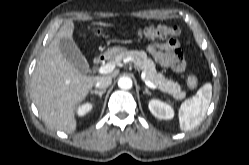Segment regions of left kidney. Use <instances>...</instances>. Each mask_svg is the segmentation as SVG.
<instances>
[{
	"instance_id": "1",
	"label": "left kidney",
	"mask_w": 249,
	"mask_h": 165,
	"mask_svg": "<svg viewBox=\"0 0 249 165\" xmlns=\"http://www.w3.org/2000/svg\"><path fill=\"white\" fill-rule=\"evenodd\" d=\"M149 110L150 112L159 119L169 120L174 117L173 108L157 99H152L149 102Z\"/></svg>"
}]
</instances>
